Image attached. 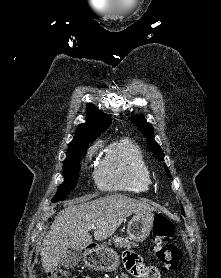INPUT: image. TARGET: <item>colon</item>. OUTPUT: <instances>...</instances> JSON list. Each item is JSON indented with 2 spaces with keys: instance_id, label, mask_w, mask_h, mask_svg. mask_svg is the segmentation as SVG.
Instances as JSON below:
<instances>
[{
  "instance_id": "5ec220e1",
  "label": "colon",
  "mask_w": 221,
  "mask_h": 278,
  "mask_svg": "<svg viewBox=\"0 0 221 278\" xmlns=\"http://www.w3.org/2000/svg\"><path fill=\"white\" fill-rule=\"evenodd\" d=\"M173 223L164 215L157 214L153 222V241L154 252L160 261L162 268L172 270L177 267L181 260V250L170 240L174 235ZM151 278H156L159 274L158 268L149 267ZM47 278H89L87 276H73L65 269H57L52 271Z\"/></svg>"
}]
</instances>
